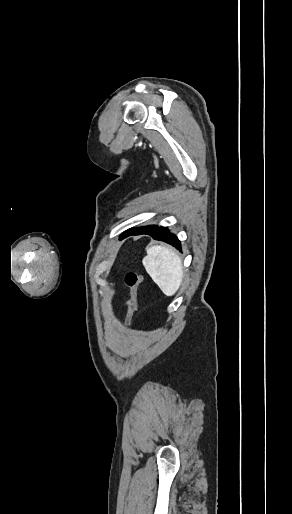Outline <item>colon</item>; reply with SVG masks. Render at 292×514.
<instances>
[{
    "instance_id": "5ec220e1",
    "label": "colon",
    "mask_w": 292,
    "mask_h": 514,
    "mask_svg": "<svg viewBox=\"0 0 292 514\" xmlns=\"http://www.w3.org/2000/svg\"><path fill=\"white\" fill-rule=\"evenodd\" d=\"M142 281V274L138 271H129L125 277V284L129 291V298L127 299V312L125 315V323L129 324L132 320L137 303L138 289Z\"/></svg>"
}]
</instances>
